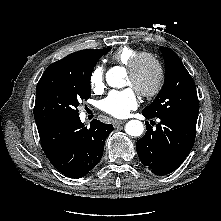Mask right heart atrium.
Instances as JSON below:
<instances>
[{
	"instance_id": "1",
	"label": "right heart atrium",
	"mask_w": 221,
	"mask_h": 221,
	"mask_svg": "<svg viewBox=\"0 0 221 221\" xmlns=\"http://www.w3.org/2000/svg\"><path fill=\"white\" fill-rule=\"evenodd\" d=\"M89 84L93 91L99 92L104 88V71L100 65L95 66L89 77Z\"/></svg>"
}]
</instances>
